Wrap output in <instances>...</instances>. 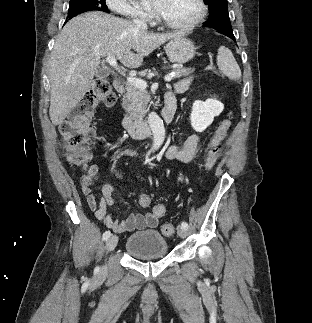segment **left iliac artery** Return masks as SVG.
Listing matches in <instances>:
<instances>
[{
  "instance_id": "44dca946",
  "label": "left iliac artery",
  "mask_w": 312,
  "mask_h": 323,
  "mask_svg": "<svg viewBox=\"0 0 312 323\" xmlns=\"http://www.w3.org/2000/svg\"><path fill=\"white\" fill-rule=\"evenodd\" d=\"M182 227L183 228H185V230H187L188 229V224H187V222H182Z\"/></svg>"
}]
</instances>
